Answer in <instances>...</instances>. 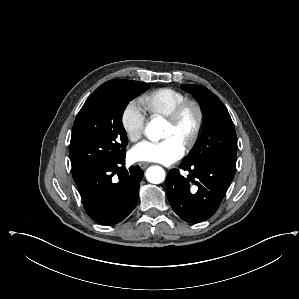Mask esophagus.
I'll use <instances>...</instances> for the list:
<instances>
[{
  "mask_svg": "<svg viewBox=\"0 0 299 299\" xmlns=\"http://www.w3.org/2000/svg\"><path fill=\"white\" fill-rule=\"evenodd\" d=\"M138 165L141 169L144 170L149 166V163L148 162H140V163H138Z\"/></svg>",
  "mask_w": 299,
  "mask_h": 299,
  "instance_id": "1",
  "label": "esophagus"
}]
</instances>
